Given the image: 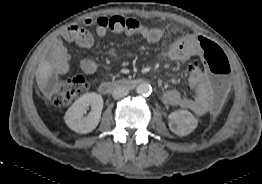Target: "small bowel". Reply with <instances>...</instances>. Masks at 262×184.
<instances>
[{
  "mask_svg": "<svg viewBox=\"0 0 262 184\" xmlns=\"http://www.w3.org/2000/svg\"><path fill=\"white\" fill-rule=\"evenodd\" d=\"M92 20H86L85 24L90 25ZM96 33L100 38L105 37L106 30L97 27ZM137 34L146 42L156 44L161 41L163 31L160 28L142 27ZM199 36L193 34L181 35L167 50V56L174 61H186L185 73L188 79V89L195 97L183 96L177 90H168L162 95V102L168 106H179L191 110L198 116L204 115L210 108L208 105V90L204 88V81L209 75L208 68L204 65L200 51L195 46ZM62 40L74 42L79 46L89 49L93 46V37L79 25H71L61 33ZM115 55L114 49L110 50ZM53 66L59 74H66L70 71L69 54L61 40H56L52 49ZM197 58V59H196ZM199 59V60H198ZM82 71L86 74H94L97 71V64L90 58H84L80 62Z\"/></svg>",
  "mask_w": 262,
  "mask_h": 184,
  "instance_id": "c3829d8e",
  "label": "small bowel"
}]
</instances>
